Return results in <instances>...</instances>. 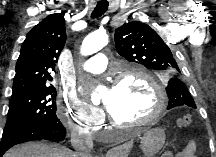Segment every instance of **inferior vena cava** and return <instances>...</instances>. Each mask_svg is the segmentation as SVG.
Instances as JSON below:
<instances>
[{
	"instance_id": "obj_1",
	"label": "inferior vena cava",
	"mask_w": 216,
	"mask_h": 157,
	"mask_svg": "<svg viewBox=\"0 0 216 157\" xmlns=\"http://www.w3.org/2000/svg\"><path fill=\"white\" fill-rule=\"evenodd\" d=\"M71 145L76 150L74 157H90L93 148L90 134L83 133L80 130H73L71 132Z\"/></svg>"
}]
</instances>
